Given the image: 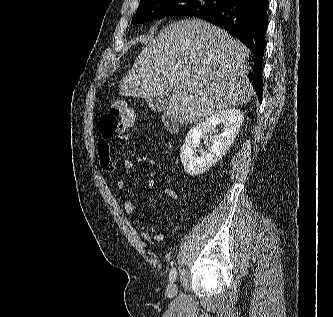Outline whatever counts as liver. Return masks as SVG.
Instances as JSON below:
<instances>
[{"label":"liver","instance_id":"6515ba94","mask_svg":"<svg viewBox=\"0 0 333 317\" xmlns=\"http://www.w3.org/2000/svg\"><path fill=\"white\" fill-rule=\"evenodd\" d=\"M248 49L226 31L199 19L169 24L143 48L119 93L168 96L167 113L192 124L250 101Z\"/></svg>","mask_w":333,"mask_h":317}]
</instances>
